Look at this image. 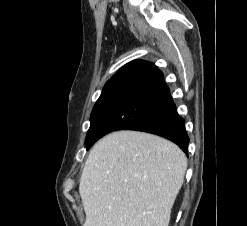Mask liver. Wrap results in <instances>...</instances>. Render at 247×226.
<instances>
[{"label":"liver","mask_w":247,"mask_h":226,"mask_svg":"<svg viewBox=\"0 0 247 226\" xmlns=\"http://www.w3.org/2000/svg\"><path fill=\"white\" fill-rule=\"evenodd\" d=\"M187 158L161 137L118 131L89 152L79 193L84 226H168Z\"/></svg>","instance_id":"liver-1"}]
</instances>
